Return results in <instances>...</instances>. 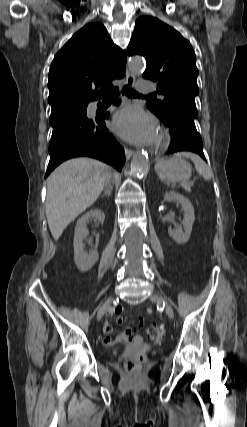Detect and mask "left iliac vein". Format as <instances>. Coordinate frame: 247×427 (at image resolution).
Returning a JSON list of instances; mask_svg holds the SVG:
<instances>
[{
	"instance_id": "obj_1",
	"label": "left iliac vein",
	"mask_w": 247,
	"mask_h": 427,
	"mask_svg": "<svg viewBox=\"0 0 247 427\" xmlns=\"http://www.w3.org/2000/svg\"><path fill=\"white\" fill-rule=\"evenodd\" d=\"M150 300L152 302L165 303L166 314L169 316V318L173 319L174 311L172 306L160 294H156V293L151 294Z\"/></svg>"
}]
</instances>
